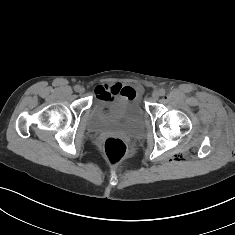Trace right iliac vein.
I'll return each mask as SVG.
<instances>
[{
	"instance_id": "1",
	"label": "right iliac vein",
	"mask_w": 235,
	"mask_h": 235,
	"mask_svg": "<svg viewBox=\"0 0 235 235\" xmlns=\"http://www.w3.org/2000/svg\"><path fill=\"white\" fill-rule=\"evenodd\" d=\"M85 92V89L83 87L80 86L78 93L83 94Z\"/></svg>"
}]
</instances>
